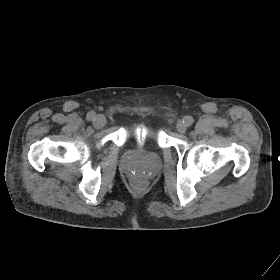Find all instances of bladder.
<instances>
[{
  "mask_svg": "<svg viewBox=\"0 0 280 280\" xmlns=\"http://www.w3.org/2000/svg\"><path fill=\"white\" fill-rule=\"evenodd\" d=\"M147 136H148L149 138H155V137H156V134H155L154 131H148Z\"/></svg>",
  "mask_w": 280,
  "mask_h": 280,
  "instance_id": "bladder-1",
  "label": "bladder"
}]
</instances>
